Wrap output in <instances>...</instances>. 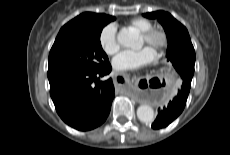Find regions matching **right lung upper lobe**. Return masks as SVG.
Masks as SVG:
<instances>
[{
  "label": "right lung upper lobe",
  "instance_id": "obj_1",
  "mask_svg": "<svg viewBox=\"0 0 230 155\" xmlns=\"http://www.w3.org/2000/svg\"><path fill=\"white\" fill-rule=\"evenodd\" d=\"M112 16L105 14H96L91 12H85L75 17L67 24H65L60 32L68 31V30H84L91 27L93 24L97 23L99 20L103 18H109Z\"/></svg>",
  "mask_w": 230,
  "mask_h": 155
}]
</instances>
